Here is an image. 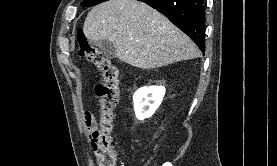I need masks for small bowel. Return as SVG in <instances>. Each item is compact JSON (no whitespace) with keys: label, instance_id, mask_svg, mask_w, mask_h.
<instances>
[{"label":"small bowel","instance_id":"small-bowel-1","mask_svg":"<svg viewBox=\"0 0 277 166\" xmlns=\"http://www.w3.org/2000/svg\"><path fill=\"white\" fill-rule=\"evenodd\" d=\"M94 122H95L94 117H93L91 114L87 113V114L85 115V123H86V126L91 125V124H93Z\"/></svg>","mask_w":277,"mask_h":166}]
</instances>
